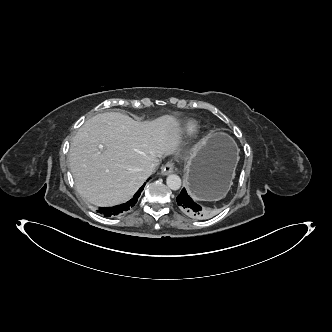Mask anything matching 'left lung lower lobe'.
Instances as JSON below:
<instances>
[{
  "instance_id": "1",
  "label": "left lung lower lobe",
  "mask_w": 332,
  "mask_h": 332,
  "mask_svg": "<svg viewBox=\"0 0 332 332\" xmlns=\"http://www.w3.org/2000/svg\"><path fill=\"white\" fill-rule=\"evenodd\" d=\"M176 200L177 204L186 215L198 220L209 217V213L206 210H203L202 207L192 200V198L187 194L185 188L182 189Z\"/></svg>"
}]
</instances>
